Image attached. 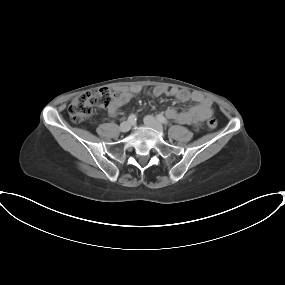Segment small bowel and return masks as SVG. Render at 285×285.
<instances>
[{
	"mask_svg": "<svg viewBox=\"0 0 285 285\" xmlns=\"http://www.w3.org/2000/svg\"><path fill=\"white\" fill-rule=\"evenodd\" d=\"M141 91L142 87L138 84L129 87H119L117 89V92L119 93L118 97L108 106L109 114L115 116L121 106L139 95ZM153 94L155 96H171L180 102H187L189 100L195 102L194 105L189 106L184 110L179 111L173 108H167L164 111V114L168 119L174 120L177 123L199 125L213 116L211 100L200 92H190L185 89H169L165 86H157L153 89Z\"/></svg>",
	"mask_w": 285,
	"mask_h": 285,
	"instance_id": "1",
	"label": "small bowel"
}]
</instances>
